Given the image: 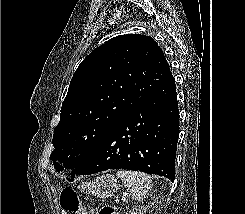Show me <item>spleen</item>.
Here are the masks:
<instances>
[{
  "label": "spleen",
  "mask_w": 245,
  "mask_h": 214,
  "mask_svg": "<svg viewBox=\"0 0 245 214\" xmlns=\"http://www.w3.org/2000/svg\"><path fill=\"white\" fill-rule=\"evenodd\" d=\"M129 190L132 199L142 200L151 187V178L149 175L131 170H120L116 173Z\"/></svg>",
  "instance_id": "1"
}]
</instances>
